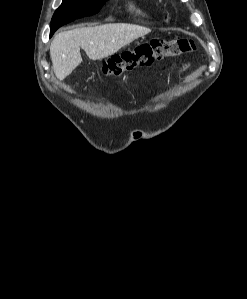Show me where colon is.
<instances>
[{"label": "colon", "instance_id": "colon-1", "mask_svg": "<svg viewBox=\"0 0 247 299\" xmlns=\"http://www.w3.org/2000/svg\"><path fill=\"white\" fill-rule=\"evenodd\" d=\"M195 50L196 43L189 38L152 39L131 51L111 56L103 63L102 71L106 75H120L135 68L149 66L156 61Z\"/></svg>", "mask_w": 247, "mask_h": 299}]
</instances>
